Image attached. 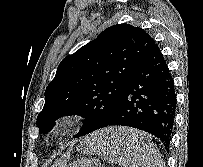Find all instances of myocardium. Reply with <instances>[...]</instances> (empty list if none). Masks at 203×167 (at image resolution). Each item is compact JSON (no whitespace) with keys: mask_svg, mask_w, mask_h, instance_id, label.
<instances>
[{"mask_svg":"<svg viewBox=\"0 0 203 167\" xmlns=\"http://www.w3.org/2000/svg\"><path fill=\"white\" fill-rule=\"evenodd\" d=\"M80 123V117L76 114H65L55 119L50 125L48 135L57 139L69 134Z\"/></svg>","mask_w":203,"mask_h":167,"instance_id":"1","label":"myocardium"}]
</instances>
